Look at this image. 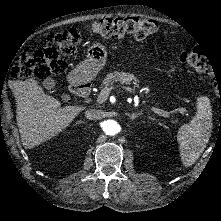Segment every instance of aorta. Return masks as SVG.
I'll list each match as a JSON object with an SVG mask.
<instances>
[{
  "label": "aorta",
  "mask_w": 221,
  "mask_h": 221,
  "mask_svg": "<svg viewBox=\"0 0 221 221\" xmlns=\"http://www.w3.org/2000/svg\"><path fill=\"white\" fill-rule=\"evenodd\" d=\"M103 131L106 135H116L120 130V125L115 120H106L102 124Z\"/></svg>",
  "instance_id": "1"
}]
</instances>
